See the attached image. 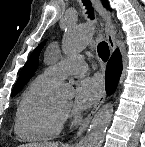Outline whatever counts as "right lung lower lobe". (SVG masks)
Segmentation results:
<instances>
[{
    "instance_id": "right-lung-lower-lobe-1",
    "label": "right lung lower lobe",
    "mask_w": 145,
    "mask_h": 147,
    "mask_svg": "<svg viewBox=\"0 0 145 147\" xmlns=\"http://www.w3.org/2000/svg\"><path fill=\"white\" fill-rule=\"evenodd\" d=\"M122 72V58L118 50L114 52L111 59L107 64L106 69V91L108 94H112L118 84L120 75Z\"/></svg>"
}]
</instances>
